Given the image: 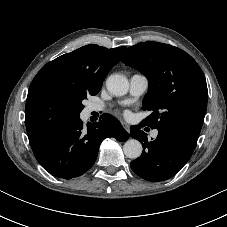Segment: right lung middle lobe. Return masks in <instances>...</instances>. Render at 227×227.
Wrapping results in <instances>:
<instances>
[{"mask_svg":"<svg viewBox=\"0 0 227 227\" xmlns=\"http://www.w3.org/2000/svg\"><path fill=\"white\" fill-rule=\"evenodd\" d=\"M87 98V95L86 94H82L78 97L77 99V104H76V108H75V114H76V117H79V113L81 112V110L83 109V104H82V101L84 99Z\"/></svg>","mask_w":227,"mask_h":227,"instance_id":"right-lung-middle-lobe-1","label":"right lung middle lobe"}]
</instances>
